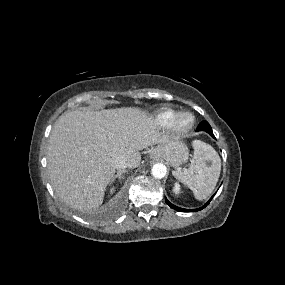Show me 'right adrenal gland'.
Masks as SVG:
<instances>
[{"mask_svg":"<svg viewBox=\"0 0 285 285\" xmlns=\"http://www.w3.org/2000/svg\"><path fill=\"white\" fill-rule=\"evenodd\" d=\"M127 172L126 170H120L117 172V174L113 177V180L112 182L118 178L119 180H123L124 179V176H123V173Z\"/></svg>","mask_w":285,"mask_h":285,"instance_id":"obj_1","label":"right adrenal gland"}]
</instances>
